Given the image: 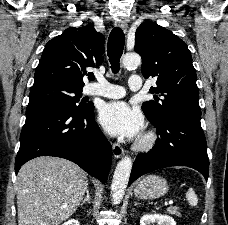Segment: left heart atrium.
Returning a JSON list of instances; mask_svg holds the SVG:
<instances>
[{
	"mask_svg": "<svg viewBox=\"0 0 228 225\" xmlns=\"http://www.w3.org/2000/svg\"><path fill=\"white\" fill-rule=\"evenodd\" d=\"M99 120L110 135L128 139L139 137L143 128L141 114L122 101L105 104L100 110Z\"/></svg>",
	"mask_w": 228,
	"mask_h": 225,
	"instance_id": "obj_1",
	"label": "left heart atrium"
}]
</instances>
